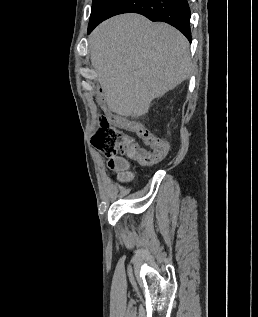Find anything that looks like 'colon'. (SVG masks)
<instances>
[{
    "label": "colon",
    "mask_w": 258,
    "mask_h": 317,
    "mask_svg": "<svg viewBox=\"0 0 258 317\" xmlns=\"http://www.w3.org/2000/svg\"><path fill=\"white\" fill-rule=\"evenodd\" d=\"M102 104L106 105V102L103 100ZM119 118L120 116L112 113L101 117L99 129L93 137L94 146L105 153H118L143 165L159 163L163 159L162 152L140 147L133 136L116 125Z\"/></svg>",
    "instance_id": "5ec220e1"
}]
</instances>
